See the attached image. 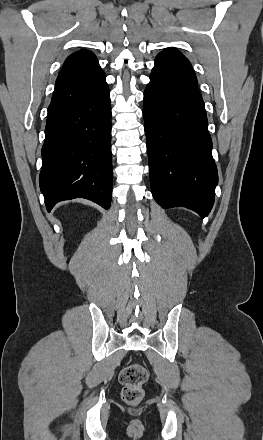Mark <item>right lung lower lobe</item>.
<instances>
[{"mask_svg": "<svg viewBox=\"0 0 263 440\" xmlns=\"http://www.w3.org/2000/svg\"><path fill=\"white\" fill-rule=\"evenodd\" d=\"M111 106L104 72L55 88L48 108L39 183L47 210L89 199L110 208Z\"/></svg>", "mask_w": 263, "mask_h": 440, "instance_id": "right-lung-lower-lobe-1", "label": "right lung lower lobe"}]
</instances>
